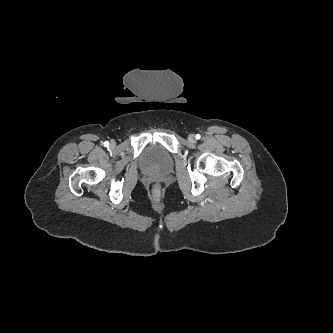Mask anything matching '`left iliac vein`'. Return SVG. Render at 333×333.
Returning <instances> with one entry per match:
<instances>
[{
  "label": "left iliac vein",
  "mask_w": 333,
  "mask_h": 333,
  "mask_svg": "<svg viewBox=\"0 0 333 333\" xmlns=\"http://www.w3.org/2000/svg\"><path fill=\"white\" fill-rule=\"evenodd\" d=\"M189 142L196 143V138L194 134H190L188 137Z\"/></svg>",
  "instance_id": "left-iliac-vein-1"
}]
</instances>
